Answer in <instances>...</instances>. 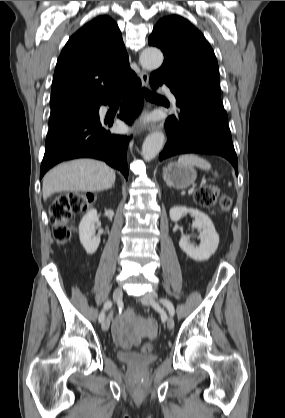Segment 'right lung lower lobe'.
I'll return each instance as SVG.
<instances>
[{
	"label": "right lung lower lobe",
	"instance_id": "98d812e1",
	"mask_svg": "<svg viewBox=\"0 0 285 418\" xmlns=\"http://www.w3.org/2000/svg\"><path fill=\"white\" fill-rule=\"evenodd\" d=\"M140 79L124 90V99L119 117L131 123L140 112L143 97L140 93ZM114 99V98H113ZM113 99L98 104L97 113L91 117L77 118L49 129L46 137L45 154L40 169V179L59 162L75 158H95L105 161L111 167L120 170L128 179L127 136L111 134L106 126L112 121L99 120L100 105H110Z\"/></svg>",
	"mask_w": 285,
	"mask_h": 418
}]
</instances>
